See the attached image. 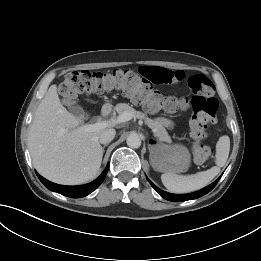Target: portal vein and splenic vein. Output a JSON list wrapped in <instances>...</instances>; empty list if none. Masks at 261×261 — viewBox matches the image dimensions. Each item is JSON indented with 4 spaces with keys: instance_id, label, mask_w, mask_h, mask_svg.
<instances>
[{
    "instance_id": "1",
    "label": "portal vein and splenic vein",
    "mask_w": 261,
    "mask_h": 261,
    "mask_svg": "<svg viewBox=\"0 0 261 261\" xmlns=\"http://www.w3.org/2000/svg\"><path fill=\"white\" fill-rule=\"evenodd\" d=\"M133 118V115L131 112H123L121 113L119 116H117V118L108 120V121H98L97 123L94 124H86L83 125L81 127L82 130L85 131H96V130H101L104 129L106 127L112 126V125H116V124H120L126 121H129Z\"/></svg>"
}]
</instances>
